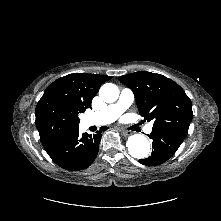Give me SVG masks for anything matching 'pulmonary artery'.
<instances>
[{"mask_svg": "<svg viewBox=\"0 0 221 221\" xmlns=\"http://www.w3.org/2000/svg\"><path fill=\"white\" fill-rule=\"evenodd\" d=\"M134 101L133 92L124 88L117 100V102L108 105L104 109L90 114L88 116V123L90 125H106L115 121ZM152 130V125L147 126L146 132L150 133Z\"/></svg>", "mask_w": 221, "mask_h": 221, "instance_id": "pulmonary-artery-1", "label": "pulmonary artery"}]
</instances>
